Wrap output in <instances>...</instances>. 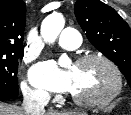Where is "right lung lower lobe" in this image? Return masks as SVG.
<instances>
[{
    "instance_id": "98d812e1",
    "label": "right lung lower lobe",
    "mask_w": 131,
    "mask_h": 115,
    "mask_svg": "<svg viewBox=\"0 0 131 115\" xmlns=\"http://www.w3.org/2000/svg\"><path fill=\"white\" fill-rule=\"evenodd\" d=\"M9 99L8 97H3V96H0V100L4 101V100H7Z\"/></svg>"
}]
</instances>
